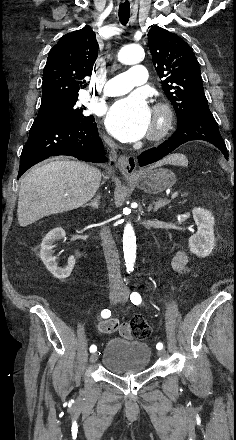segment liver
I'll list each match as a JSON object with an SVG mask.
<instances>
[{"label": "liver", "mask_w": 236, "mask_h": 440, "mask_svg": "<svg viewBox=\"0 0 236 440\" xmlns=\"http://www.w3.org/2000/svg\"><path fill=\"white\" fill-rule=\"evenodd\" d=\"M163 163L187 165L183 155H171ZM101 172L80 161H52L32 169L20 183L18 222L26 227L43 217L71 211L92 199Z\"/></svg>", "instance_id": "liver-1"}]
</instances>
